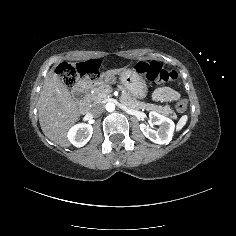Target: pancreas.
<instances>
[{"instance_id": "1", "label": "pancreas", "mask_w": 236, "mask_h": 236, "mask_svg": "<svg viewBox=\"0 0 236 236\" xmlns=\"http://www.w3.org/2000/svg\"><path fill=\"white\" fill-rule=\"evenodd\" d=\"M118 90L122 92L119 100L122 104L127 106L130 109H145L147 111L153 110L164 116L171 114V118L176 119V113L170 109L169 105L166 106H157L154 104H149L145 102H140L130 95L122 85H118ZM112 87L108 84H101L98 87H93L90 92L86 95L85 101L91 105L94 103H101L105 101L108 96H111Z\"/></svg>"}]
</instances>
